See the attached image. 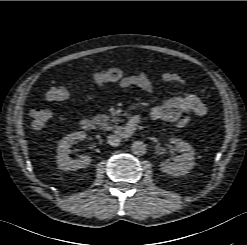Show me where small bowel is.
Returning a JSON list of instances; mask_svg holds the SVG:
<instances>
[{"instance_id": "c3829d8e", "label": "small bowel", "mask_w": 247, "mask_h": 245, "mask_svg": "<svg viewBox=\"0 0 247 245\" xmlns=\"http://www.w3.org/2000/svg\"><path fill=\"white\" fill-rule=\"evenodd\" d=\"M161 79L165 83L172 84L174 89L164 103L151 109L150 117L153 120L175 122L187 113L197 116H205L207 114V107L198 96L192 93L178 94L176 92V88L179 85L185 84V80L181 76L173 72H166L162 74ZM130 87H137L146 93L154 91L152 80L144 72L126 76L117 82V89ZM117 89L112 90L111 95L115 94Z\"/></svg>"}]
</instances>
